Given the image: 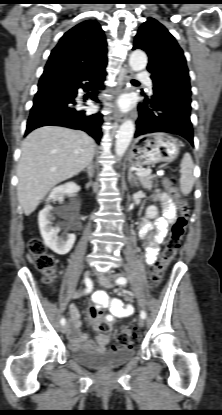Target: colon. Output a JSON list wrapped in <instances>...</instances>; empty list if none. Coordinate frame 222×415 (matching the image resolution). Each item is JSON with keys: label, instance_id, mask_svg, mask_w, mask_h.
<instances>
[{"label": "colon", "instance_id": "5ec220e1", "mask_svg": "<svg viewBox=\"0 0 222 415\" xmlns=\"http://www.w3.org/2000/svg\"><path fill=\"white\" fill-rule=\"evenodd\" d=\"M164 185L176 201L177 213L169 229L163 251L150 271L149 282L152 287H157L160 284L165 271L174 260L180 248L189 215L188 202L180 193L175 183L171 179L165 178ZM28 250L34 256L37 269L44 274L46 281L50 282L53 279L55 271V259L53 256L46 252L44 244L39 239H31L28 242ZM88 317L99 333L105 334L111 331L110 325L102 318V312L97 306H91L88 309ZM139 339L140 336L136 330H122L114 335L111 348L117 349L121 346L137 342Z\"/></svg>", "mask_w": 222, "mask_h": 415}]
</instances>
